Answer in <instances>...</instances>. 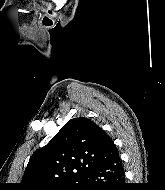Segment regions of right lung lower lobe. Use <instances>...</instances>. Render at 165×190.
Segmentation results:
<instances>
[{"mask_svg": "<svg viewBox=\"0 0 165 190\" xmlns=\"http://www.w3.org/2000/svg\"><path fill=\"white\" fill-rule=\"evenodd\" d=\"M79 190H126L119 153L85 172Z\"/></svg>", "mask_w": 165, "mask_h": 190, "instance_id": "98d812e1", "label": "right lung lower lobe"}]
</instances>
